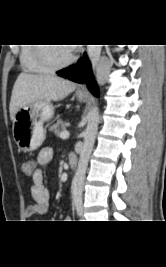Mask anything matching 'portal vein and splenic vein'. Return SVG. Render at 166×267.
Here are the masks:
<instances>
[{
  "instance_id": "obj_1",
  "label": "portal vein and splenic vein",
  "mask_w": 166,
  "mask_h": 267,
  "mask_svg": "<svg viewBox=\"0 0 166 267\" xmlns=\"http://www.w3.org/2000/svg\"><path fill=\"white\" fill-rule=\"evenodd\" d=\"M60 138L61 139H67L69 137V132L68 131H63L60 133Z\"/></svg>"
}]
</instances>
